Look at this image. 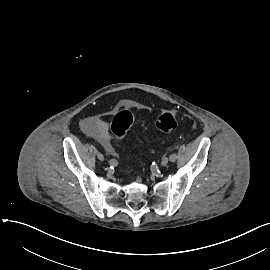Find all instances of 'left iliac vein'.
Listing matches in <instances>:
<instances>
[{
	"label": "left iliac vein",
	"mask_w": 270,
	"mask_h": 270,
	"mask_svg": "<svg viewBox=\"0 0 270 270\" xmlns=\"http://www.w3.org/2000/svg\"><path fill=\"white\" fill-rule=\"evenodd\" d=\"M168 162H169V159H168L167 157H164V158L162 159V161H161V165H162V166H166V165L168 164Z\"/></svg>",
	"instance_id": "1"
}]
</instances>
